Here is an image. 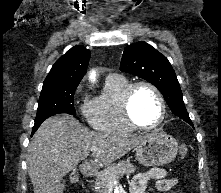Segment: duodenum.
<instances>
[{"label":"duodenum","mask_w":221,"mask_h":193,"mask_svg":"<svg viewBox=\"0 0 221 193\" xmlns=\"http://www.w3.org/2000/svg\"><path fill=\"white\" fill-rule=\"evenodd\" d=\"M81 171L85 177H91L93 175V166L90 163H83Z\"/></svg>","instance_id":"duodenum-1"}]
</instances>
